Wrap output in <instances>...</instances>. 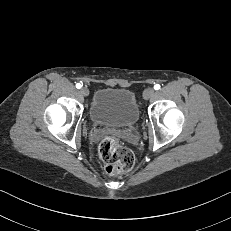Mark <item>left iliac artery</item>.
I'll list each match as a JSON object with an SVG mask.
<instances>
[{
	"instance_id": "1",
	"label": "left iliac artery",
	"mask_w": 231,
	"mask_h": 231,
	"mask_svg": "<svg viewBox=\"0 0 231 231\" xmlns=\"http://www.w3.org/2000/svg\"><path fill=\"white\" fill-rule=\"evenodd\" d=\"M154 89H155V90H159V89H160V85H159V84H156V85L154 86Z\"/></svg>"
}]
</instances>
